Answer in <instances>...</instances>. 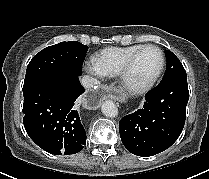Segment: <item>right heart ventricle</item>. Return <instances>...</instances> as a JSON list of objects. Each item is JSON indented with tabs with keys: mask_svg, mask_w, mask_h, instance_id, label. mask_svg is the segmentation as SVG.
Listing matches in <instances>:
<instances>
[{
	"mask_svg": "<svg viewBox=\"0 0 209 179\" xmlns=\"http://www.w3.org/2000/svg\"><path fill=\"white\" fill-rule=\"evenodd\" d=\"M143 46L145 45L135 44L105 48L93 56V65L101 75L115 77L119 75L128 59Z\"/></svg>",
	"mask_w": 209,
	"mask_h": 179,
	"instance_id": "obj_1",
	"label": "right heart ventricle"
}]
</instances>
